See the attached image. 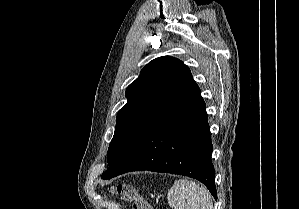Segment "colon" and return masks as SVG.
<instances>
[{
  "mask_svg": "<svg viewBox=\"0 0 299 209\" xmlns=\"http://www.w3.org/2000/svg\"><path fill=\"white\" fill-rule=\"evenodd\" d=\"M112 190L122 199L132 202V209H151L148 202L141 197L132 184H119Z\"/></svg>",
  "mask_w": 299,
  "mask_h": 209,
  "instance_id": "obj_1",
  "label": "colon"
}]
</instances>
